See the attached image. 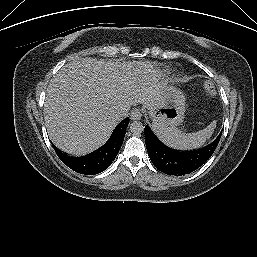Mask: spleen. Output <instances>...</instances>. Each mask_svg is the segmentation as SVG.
Returning a JSON list of instances; mask_svg holds the SVG:
<instances>
[{
	"mask_svg": "<svg viewBox=\"0 0 257 257\" xmlns=\"http://www.w3.org/2000/svg\"><path fill=\"white\" fill-rule=\"evenodd\" d=\"M152 127L157 137L168 147L178 150H192L200 148L211 137L216 127V121L211 122L203 130L187 134L174 126L163 128L152 125Z\"/></svg>",
	"mask_w": 257,
	"mask_h": 257,
	"instance_id": "3e777b00",
	"label": "spleen"
}]
</instances>
